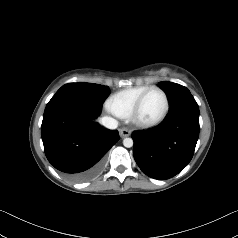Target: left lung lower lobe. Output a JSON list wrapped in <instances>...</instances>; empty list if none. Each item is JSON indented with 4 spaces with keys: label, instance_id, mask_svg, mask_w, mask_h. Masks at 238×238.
Returning a JSON list of instances; mask_svg holds the SVG:
<instances>
[{
    "label": "left lung lower lobe",
    "instance_id": "obj_1",
    "mask_svg": "<svg viewBox=\"0 0 238 238\" xmlns=\"http://www.w3.org/2000/svg\"><path fill=\"white\" fill-rule=\"evenodd\" d=\"M198 137L199 107L192 95H186L171 105L158 126L132 133L134 159L147 176L169 179L188 165Z\"/></svg>",
    "mask_w": 238,
    "mask_h": 238
}]
</instances>
